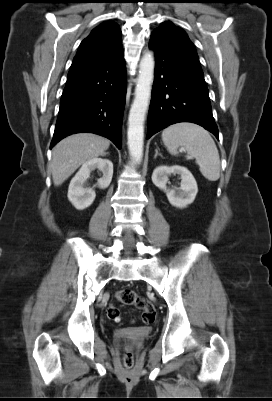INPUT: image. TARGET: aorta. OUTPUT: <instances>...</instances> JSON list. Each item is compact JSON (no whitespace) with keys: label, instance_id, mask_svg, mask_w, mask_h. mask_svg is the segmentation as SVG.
I'll list each match as a JSON object with an SVG mask.
<instances>
[{"label":"aorta","instance_id":"762f6f07","mask_svg":"<svg viewBox=\"0 0 272 401\" xmlns=\"http://www.w3.org/2000/svg\"><path fill=\"white\" fill-rule=\"evenodd\" d=\"M154 68V54L148 51L143 55L139 64L135 98L128 116V149L131 157L137 163L141 162L143 156L144 121L150 102Z\"/></svg>","mask_w":272,"mask_h":401}]
</instances>
